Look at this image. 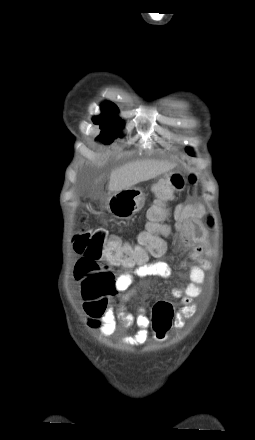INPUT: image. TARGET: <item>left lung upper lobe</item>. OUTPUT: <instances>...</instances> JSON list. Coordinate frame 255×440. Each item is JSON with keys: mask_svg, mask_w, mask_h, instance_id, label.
Returning <instances> with one entry per match:
<instances>
[{"mask_svg": "<svg viewBox=\"0 0 255 440\" xmlns=\"http://www.w3.org/2000/svg\"><path fill=\"white\" fill-rule=\"evenodd\" d=\"M186 151H187L189 154H191V149H190V148L186 149Z\"/></svg>", "mask_w": 255, "mask_h": 440, "instance_id": "left-lung-upper-lobe-1", "label": "left lung upper lobe"}]
</instances>
